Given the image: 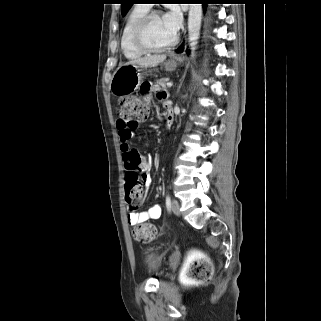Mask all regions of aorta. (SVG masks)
Here are the masks:
<instances>
[{"label": "aorta", "instance_id": "obj_1", "mask_svg": "<svg viewBox=\"0 0 321 321\" xmlns=\"http://www.w3.org/2000/svg\"><path fill=\"white\" fill-rule=\"evenodd\" d=\"M202 21V6L201 4H190L188 14V36L191 56H194L197 42L200 35Z\"/></svg>", "mask_w": 321, "mask_h": 321}]
</instances>
